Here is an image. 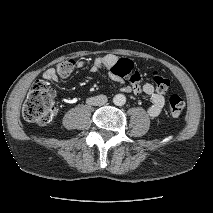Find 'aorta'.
Masks as SVG:
<instances>
[{"label": "aorta", "instance_id": "obj_1", "mask_svg": "<svg viewBox=\"0 0 213 213\" xmlns=\"http://www.w3.org/2000/svg\"><path fill=\"white\" fill-rule=\"evenodd\" d=\"M113 102L117 106H123L126 103V97L123 94H117L114 96Z\"/></svg>", "mask_w": 213, "mask_h": 213}]
</instances>
